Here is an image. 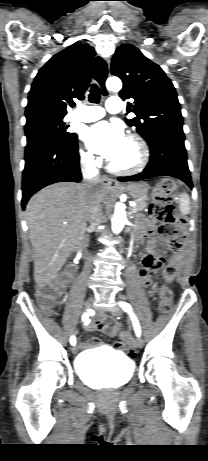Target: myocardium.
Listing matches in <instances>:
<instances>
[{"instance_id": "f54148a6", "label": "myocardium", "mask_w": 208, "mask_h": 461, "mask_svg": "<svg viewBox=\"0 0 208 461\" xmlns=\"http://www.w3.org/2000/svg\"><path fill=\"white\" fill-rule=\"evenodd\" d=\"M127 140L132 142L139 154L138 162L130 168H119L116 167L111 161L108 163V169L117 175H133L141 172L149 161V150L147 144L137 134L131 133L127 136Z\"/></svg>"}]
</instances>
